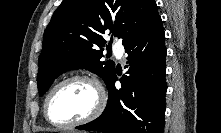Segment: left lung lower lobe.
I'll return each instance as SVG.
<instances>
[{
  "label": "left lung lower lobe",
  "instance_id": "0a47b994",
  "mask_svg": "<svg viewBox=\"0 0 221 133\" xmlns=\"http://www.w3.org/2000/svg\"><path fill=\"white\" fill-rule=\"evenodd\" d=\"M126 72L117 90L114 71L107 106L96 120L76 129L104 133H162L165 125V34L161 17L125 44Z\"/></svg>",
  "mask_w": 221,
  "mask_h": 133
}]
</instances>
